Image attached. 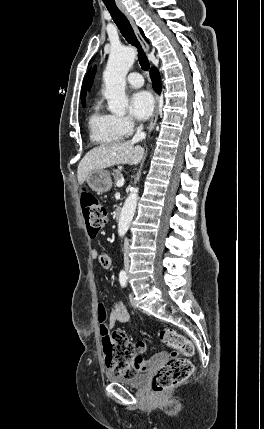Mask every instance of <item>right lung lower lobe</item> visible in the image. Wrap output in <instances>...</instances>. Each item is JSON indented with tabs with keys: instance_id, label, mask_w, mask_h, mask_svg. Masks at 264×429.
I'll list each match as a JSON object with an SVG mask.
<instances>
[{
	"instance_id": "1",
	"label": "right lung lower lobe",
	"mask_w": 264,
	"mask_h": 429,
	"mask_svg": "<svg viewBox=\"0 0 264 429\" xmlns=\"http://www.w3.org/2000/svg\"><path fill=\"white\" fill-rule=\"evenodd\" d=\"M151 78L153 80V87L156 92H161V81H160V75L158 73V70L156 68H152L150 71Z\"/></svg>"
}]
</instances>
